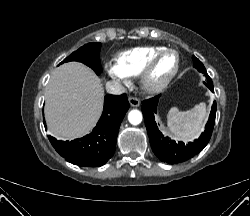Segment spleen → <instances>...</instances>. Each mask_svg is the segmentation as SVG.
Instances as JSON below:
<instances>
[{"label":"spleen","instance_id":"spleen-1","mask_svg":"<svg viewBox=\"0 0 250 216\" xmlns=\"http://www.w3.org/2000/svg\"><path fill=\"white\" fill-rule=\"evenodd\" d=\"M207 110L205 103L195 105L187 111L171 108L167 115L169 130L177 137L191 140L198 137L203 130Z\"/></svg>","mask_w":250,"mask_h":216}]
</instances>
